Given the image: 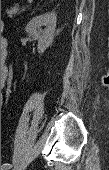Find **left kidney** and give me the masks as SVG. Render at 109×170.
Returning a JSON list of instances; mask_svg holds the SVG:
<instances>
[{
	"mask_svg": "<svg viewBox=\"0 0 109 170\" xmlns=\"http://www.w3.org/2000/svg\"><path fill=\"white\" fill-rule=\"evenodd\" d=\"M57 16L55 12H48L34 17L25 27L28 35L38 39V53L42 54L52 45L56 27ZM44 27V29H42Z\"/></svg>",
	"mask_w": 109,
	"mask_h": 170,
	"instance_id": "obj_1",
	"label": "left kidney"
}]
</instances>
